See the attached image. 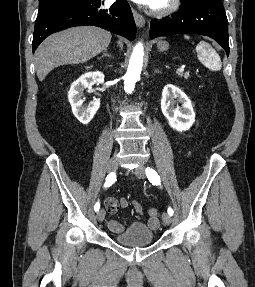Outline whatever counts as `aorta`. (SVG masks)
Returning <instances> with one entry per match:
<instances>
[{
    "label": "aorta",
    "mask_w": 255,
    "mask_h": 287,
    "mask_svg": "<svg viewBox=\"0 0 255 287\" xmlns=\"http://www.w3.org/2000/svg\"><path fill=\"white\" fill-rule=\"evenodd\" d=\"M143 55L144 49L142 44L139 43L131 54L127 73L124 76V89L129 94L133 92L135 84L140 78L143 65Z\"/></svg>",
    "instance_id": "1"
}]
</instances>
